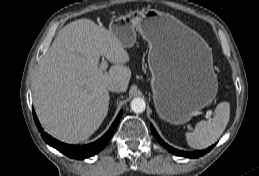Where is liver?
I'll use <instances>...</instances> for the list:
<instances>
[{
	"mask_svg": "<svg viewBox=\"0 0 259 176\" xmlns=\"http://www.w3.org/2000/svg\"><path fill=\"white\" fill-rule=\"evenodd\" d=\"M100 56L114 65L99 67ZM128 52L105 27L89 19L64 26L40 60L33 100L43 128L68 143L87 140L101 125L109 107L108 86L127 90L131 70Z\"/></svg>",
	"mask_w": 259,
	"mask_h": 176,
	"instance_id": "obj_1",
	"label": "liver"
}]
</instances>
